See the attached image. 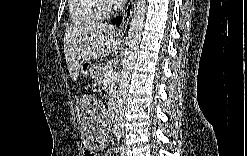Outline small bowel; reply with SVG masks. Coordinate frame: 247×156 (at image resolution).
Returning a JSON list of instances; mask_svg holds the SVG:
<instances>
[{
  "mask_svg": "<svg viewBox=\"0 0 247 156\" xmlns=\"http://www.w3.org/2000/svg\"><path fill=\"white\" fill-rule=\"evenodd\" d=\"M89 155H94V152H87Z\"/></svg>",
  "mask_w": 247,
  "mask_h": 156,
  "instance_id": "small-bowel-1",
  "label": "small bowel"
}]
</instances>
